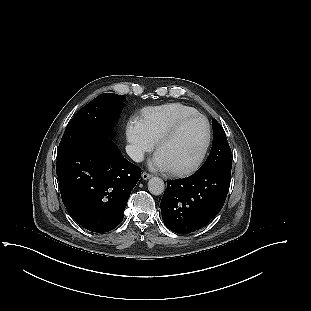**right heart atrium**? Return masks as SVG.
I'll return each mask as SVG.
<instances>
[{
  "mask_svg": "<svg viewBox=\"0 0 311 311\" xmlns=\"http://www.w3.org/2000/svg\"><path fill=\"white\" fill-rule=\"evenodd\" d=\"M126 138L130 155L137 161L154 148V142L147 135L141 120L131 117L126 124Z\"/></svg>",
  "mask_w": 311,
  "mask_h": 311,
  "instance_id": "1",
  "label": "right heart atrium"
}]
</instances>
